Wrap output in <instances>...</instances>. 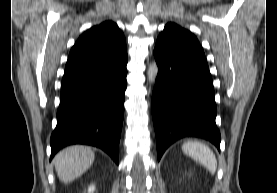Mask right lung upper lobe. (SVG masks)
<instances>
[{
    "instance_id": "1",
    "label": "right lung upper lobe",
    "mask_w": 277,
    "mask_h": 193,
    "mask_svg": "<svg viewBox=\"0 0 277 193\" xmlns=\"http://www.w3.org/2000/svg\"><path fill=\"white\" fill-rule=\"evenodd\" d=\"M127 51L125 37L112 21L84 32L70 51L64 75L101 67Z\"/></svg>"
}]
</instances>
